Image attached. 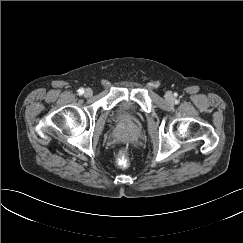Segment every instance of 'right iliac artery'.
<instances>
[{
  "label": "right iliac artery",
  "instance_id": "right-iliac-artery-1",
  "mask_svg": "<svg viewBox=\"0 0 243 243\" xmlns=\"http://www.w3.org/2000/svg\"><path fill=\"white\" fill-rule=\"evenodd\" d=\"M78 93H79V94L84 93V89H83V88H80V89L78 90Z\"/></svg>",
  "mask_w": 243,
  "mask_h": 243
}]
</instances>
